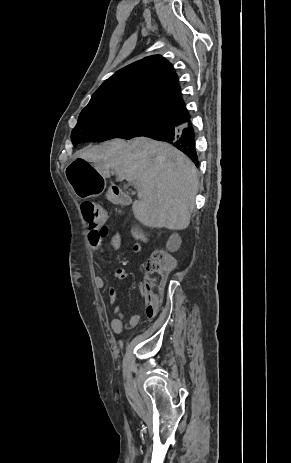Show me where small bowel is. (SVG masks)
Listing matches in <instances>:
<instances>
[{
	"instance_id": "obj_1",
	"label": "small bowel",
	"mask_w": 291,
	"mask_h": 463,
	"mask_svg": "<svg viewBox=\"0 0 291 463\" xmlns=\"http://www.w3.org/2000/svg\"><path fill=\"white\" fill-rule=\"evenodd\" d=\"M109 234V229L107 227H103L102 229L98 230V231H89L86 235V240H87V244L90 248H92L93 250H95L96 252L99 251L101 249V246H102V243L104 241V239L108 236ZM121 235L119 233H115L111 239H110V244L111 246L117 250L120 248L121 246ZM142 249V244L140 242H135L133 244V250L135 252H140ZM127 276V272L126 270L123 268V267H118L115 269L114 273H113V277L114 279H116L117 281H121V280H124ZM105 284V280L104 278L102 277H97L96 278V285L98 287H103ZM112 295H111V300L112 302L114 301V293H113V290L111 291ZM147 317L148 318H152V316L148 315L146 313ZM140 321V316L139 315H136V314H131L130 316V324L135 326L139 323ZM111 328L113 330V332L117 335H119L121 332H122V328H123V320L121 317H115L112 322H111Z\"/></svg>"
}]
</instances>
